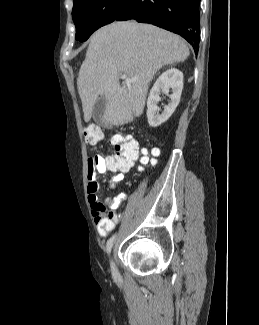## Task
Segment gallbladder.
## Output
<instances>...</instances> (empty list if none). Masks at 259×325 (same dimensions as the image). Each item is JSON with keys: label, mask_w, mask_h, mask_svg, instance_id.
Instances as JSON below:
<instances>
[{"label": "gallbladder", "mask_w": 259, "mask_h": 325, "mask_svg": "<svg viewBox=\"0 0 259 325\" xmlns=\"http://www.w3.org/2000/svg\"><path fill=\"white\" fill-rule=\"evenodd\" d=\"M106 107V100L104 96L99 97L93 106L92 115L93 118L97 121H100Z\"/></svg>", "instance_id": "bac80fb5"}]
</instances>
